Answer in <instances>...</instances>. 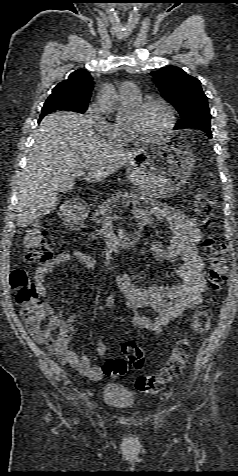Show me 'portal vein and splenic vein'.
Returning <instances> with one entry per match:
<instances>
[{
  "label": "portal vein and splenic vein",
  "mask_w": 238,
  "mask_h": 476,
  "mask_svg": "<svg viewBox=\"0 0 238 476\" xmlns=\"http://www.w3.org/2000/svg\"><path fill=\"white\" fill-rule=\"evenodd\" d=\"M84 173L82 171L76 173V176L80 177L82 176ZM107 221H111L113 218L111 216H106L105 218Z\"/></svg>",
  "instance_id": "18ae733b"
}]
</instances>
